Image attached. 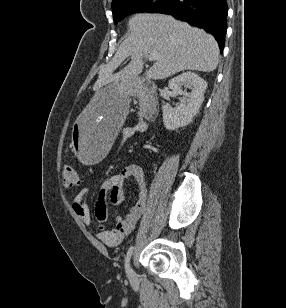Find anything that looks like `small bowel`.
Listing matches in <instances>:
<instances>
[{
  "label": "small bowel",
  "mask_w": 286,
  "mask_h": 308,
  "mask_svg": "<svg viewBox=\"0 0 286 308\" xmlns=\"http://www.w3.org/2000/svg\"><path fill=\"white\" fill-rule=\"evenodd\" d=\"M149 129L145 122H140L134 127L124 128L123 140L131 138L136 133H144ZM133 180L137 184L138 198L136 204L131 208L128 215L116 223V228L108 230L100 228L98 238L107 246H118L141 219L146 208V181L143 169L137 164L126 166L120 173L107 179L101 186L95 205V216L99 222H104L109 215L108 202L112 205L120 204L125 198V186L128 181ZM88 188H82L73 198L72 208L82 222L86 225L92 224V214L87 205Z\"/></svg>",
  "instance_id": "1"
}]
</instances>
